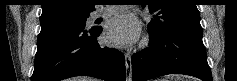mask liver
Instances as JSON below:
<instances>
[{"instance_id":"1","label":"liver","mask_w":237,"mask_h":81,"mask_svg":"<svg viewBox=\"0 0 237 81\" xmlns=\"http://www.w3.org/2000/svg\"><path fill=\"white\" fill-rule=\"evenodd\" d=\"M71 81H96L92 77H74L71 79Z\"/></svg>"}]
</instances>
